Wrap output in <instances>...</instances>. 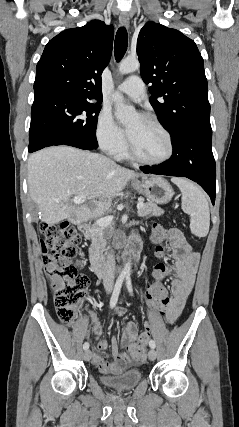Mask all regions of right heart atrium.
<instances>
[{"label": "right heart atrium", "mask_w": 239, "mask_h": 427, "mask_svg": "<svg viewBox=\"0 0 239 427\" xmlns=\"http://www.w3.org/2000/svg\"><path fill=\"white\" fill-rule=\"evenodd\" d=\"M95 135L100 148L111 156L119 155L126 147V139L121 128L107 110L100 112Z\"/></svg>", "instance_id": "1"}]
</instances>
